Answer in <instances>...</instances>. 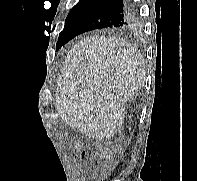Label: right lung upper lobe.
Instances as JSON below:
<instances>
[{"label":"right lung upper lobe","instance_id":"cb5924a9","mask_svg":"<svg viewBox=\"0 0 197 181\" xmlns=\"http://www.w3.org/2000/svg\"><path fill=\"white\" fill-rule=\"evenodd\" d=\"M97 0H80L74 7L72 10H77V9H82V10H86L90 5H92L94 2H96ZM129 28L127 27H122V28H117L118 31H127Z\"/></svg>","mask_w":197,"mask_h":181}]
</instances>
